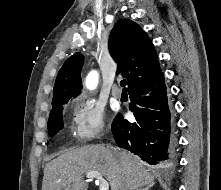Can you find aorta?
Here are the masks:
<instances>
[{"label":"aorta","mask_w":221,"mask_h":190,"mask_svg":"<svg viewBox=\"0 0 221 190\" xmlns=\"http://www.w3.org/2000/svg\"><path fill=\"white\" fill-rule=\"evenodd\" d=\"M98 82V76L95 72H91L86 79V86L88 89H94Z\"/></svg>","instance_id":"1"}]
</instances>
